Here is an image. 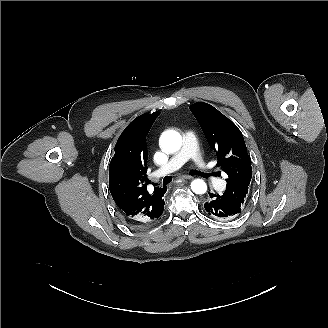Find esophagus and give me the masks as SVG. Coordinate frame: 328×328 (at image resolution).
Segmentation results:
<instances>
[{"instance_id": "esophagus-1", "label": "esophagus", "mask_w": 328, "mask_h": 328, "mask_svg": "<svg viewBox=\"0 0 328 328\" xmlns=\"http://www.w3.org/2000/svg\"><path fill=\"white\" fill-rule=\"evenodd\" d=\"M179 178L180 179H192L193 177L192 176H189V175H182Z\"/></svg>"}]
</instances>
